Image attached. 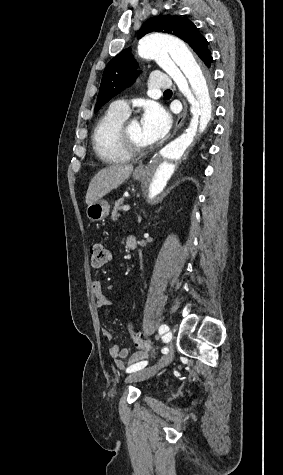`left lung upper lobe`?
Masks as SVG:
<instances>
[{"instance_id": "5c2ea615", "label": "left lung upper lobe", "mask_w": 283, "mask_h": 475, "mask_svg": "<svg viewBox=\"0 0 283 475\" xmlns=\"http://www.w3.org/2000/svg\"><path fill=\"white\" fill-rule=\"evenodd\" d=\"M150 32L169 33L181 38L190 45L202 61L205 60L208 42L188 19L177 15H162L150 18L141 27L138 38ZM137 67V62L129 48L123 50L108 63L103 72L95 112L132 84L138 76Z\"/></svg>"}]
</instances>
